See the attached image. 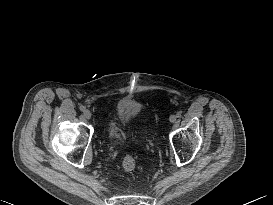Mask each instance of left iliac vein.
<instances>
[{"mask_svg": "<svg viewBox=\"0 0 273 205\" xmlns=\"http://www.w3.org/2000/svg\"><path fill=\"white\" fill-rule=\"evenodd\" d=\"M176 119H177V117L175 115H171L169 117V121L172 122V123H174L176 121Z\"/></svg>", "mask_w": 273, "mask_h": 205, "instance_id": "4c4485c4", "label": "left iliac vein"}]
</instances>
